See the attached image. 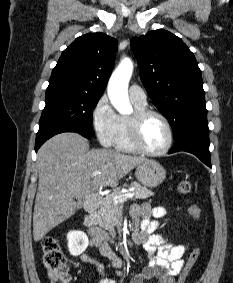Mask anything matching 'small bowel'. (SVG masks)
Instances as JSON below:
<instances>
[{"label": "small bowel", "mask_w": 233, "mask_h": 283, "mask_svg": "<svg viewBox=\"0 0 233 283\" xmlns=\"http://www.w3.org/2000/svg\"><path fill=\"white\" fill-rule=\"evenodd\" d=\"M166 214L163 207H151L148 204L135 205L132 216L139 222L141 244L149 253V263L141 273L135 275L130 283H145L155 280L156 283H175V278L182 272L185 264L186 247L183 244H172L165 236L156 233L159 219ZM91 247L99 248L101 254L111 260L120 275L122 260L111 250L107 234L100 230H90ZM83 262L93 265L101 278L98 283H116L105 273L104 266L93 257L83 254Z\"/></svg>", "instance_id": "c3829d8e"}]
</instances>
